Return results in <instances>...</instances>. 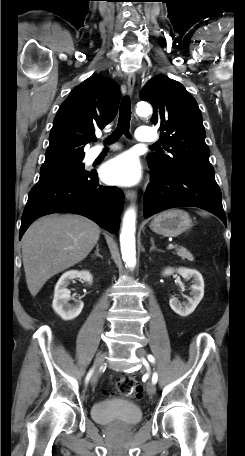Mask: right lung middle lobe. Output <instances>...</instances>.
Listing matches in <instances>:
<instances>
[{
	"label": "right lung middle lobe",
	"instance_id": "1",
	"mask_svg": "<svg viewBox=\"0 0 245 456\" xmlns=\"http://www.w3.org/2000/svg\"><path fill=\"white\" fill-rule=\"evenodd\" d=\"M87 173L89 172L85 171V165L82 163V159H79L57 166L41 168L39 182L79 176Z\"/></svg>",
	"mask_w": 245,
	"mask_h": 456
}]
</instances>
